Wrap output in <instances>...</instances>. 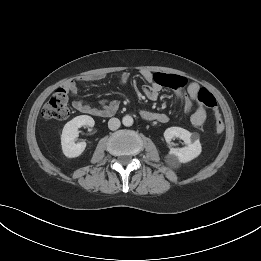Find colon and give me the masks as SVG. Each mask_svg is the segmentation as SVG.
<instances>
[{
    "label": "colon",
    "mask_w": 261,
    "mask_h": 261,
    "mask_svg": "<svg viewBox=\"0 0 261 261\" xmlns=\"http://www.w3.org/2000/svg\"><path fill=\"white\" fill-rule=\"evenodd\" d=\"M198 102L203 107L212 109L215 119V130L218 133L223 132L224 122L217 110L215 97L206 89H200L198 93ZM42 115L47 119L64 120L69 116L68 98L64 89H58L44 105Z\"/></svg>",
    "instance_id": "5ec220e1"
}]
</instances>
